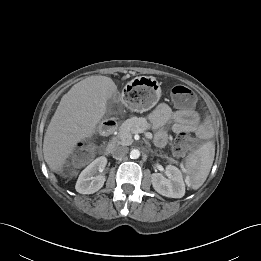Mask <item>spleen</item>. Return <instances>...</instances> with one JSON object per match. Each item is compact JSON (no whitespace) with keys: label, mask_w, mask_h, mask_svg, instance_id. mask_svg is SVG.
<instances>
[{"label":"spleen","mask_w":261,"mask_h":261,"mask_svg":"<svg viewBox=\"0 0 261 261\" xmlns=\"http://www.w3.org/2000/svg\"><path fill=\"white\" fill-rule=\"evenodd\" d=\"M215 156V145L209 141L186 159V183L194 190L199 189L206 181Z\"/></svg>","instance_id":"3e777b00"}]
</instances>
